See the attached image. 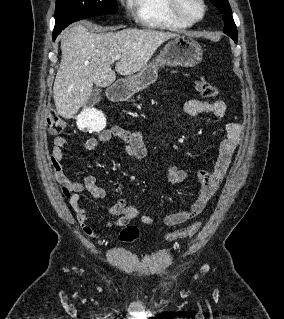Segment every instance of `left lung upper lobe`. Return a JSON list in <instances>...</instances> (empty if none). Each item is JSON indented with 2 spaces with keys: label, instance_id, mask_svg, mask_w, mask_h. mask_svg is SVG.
<instances>
[{
  "label": "left lung upper lobe",
  "instance_id": "obj_1",
  "mask_svg": "<svg viewBox=\"0 0 284 319\" xmlns=\"http://www.w3.org/2000/svg\"><path fill=\"white\" fill-rule=\"evenodd\" d=\"M223 14V20L225 22L224 33L230 36L235 42H237V28L234 23L231 8L228 0H210Z\"/></svg>",
  "mask_w": 284,
  "mask_h": 319
}]
</instances>
